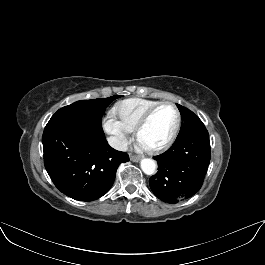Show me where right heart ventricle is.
Listing matches in <instances>:
<instances>
[{
	"mask_svg": "<svg viewBox=\"0 0 265 265\" xmlns=\"http://www.w3.org/2000/svg\"><path fill=\"white\" fill-rule=\"evenodd\" d=\"M158 103H160L158 100L129 98L115 104L112 109V113L130 131H133L142 116Z\"/></svg>",
	"mask_w": 265,
	"mask_h": 265,
	"instance_id": "obj_1",
	"label": "right heart ventricle"
}]
</instances>
